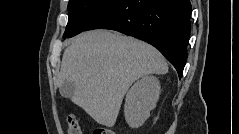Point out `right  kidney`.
I'll return each instance as SVG.
<instances>
[{
	"label": "right kidney",
	"mask_w": 239,
	"mask_h": 134,
	"mask_svg": "<svg viewBox=\"0 0 239 134\" xmlns=\"http://www.w3.org/2000/svg\"><path fill=\"white\" fill-rule=\"evenodd\" d=\"M160 94V83L155 76H144L127 92L124 114L131 128L140 127L155 108Z\"/></svg>",
	"instance_id": "obj_1"
}]
</instances>
